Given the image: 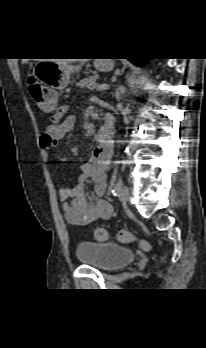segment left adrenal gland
<instances>
[{
    "label": "left adrenal gland",
    "instance_id": "1",
    "mask_svg": "<svg viewBox=\"0 0 206 348\" xmlns=\"http://www.w3.org/2000/svg\"><path fill=\"white\" fill-rule=\"evenodd\" d=\"M120 93H123V89L122 88H118L116 91V95L119 96Z\"/></svg>",
    "mask_w": 206,
    "mask_h": 348
}]
</instances>
